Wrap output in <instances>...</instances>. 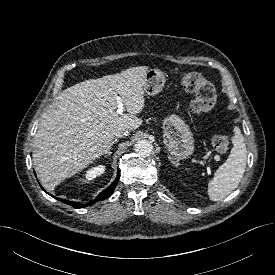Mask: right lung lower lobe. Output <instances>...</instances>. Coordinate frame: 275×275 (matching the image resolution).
Instances as JSON below:
<instances>
[{
    "instance_id": "1",
    "label": "right lung lower lobe",
    "mask_w": 275,
    "mask_h": 275,
    "mask_svg": "<svg viewBox=\"0 0 275 275\" xmlns=\"http://www.w3.org/2000/svg\"><path fill=\"white\" fill-rule=\"evenodd\" d=\"M119 176H120V173L118 171V174H117V177H116L115 181L106 190H104L103 192H101L97 196V198L95 200H93V201H91V202H89L87 204H80V203H77V202L68 201V200H64V199H61V198H56L53 195H51V196L54 197L55 199L60 200L61 202H64V203H66V204H68L70 206H73L74 208H83L85 206L92 205V204H94L97 201H100V200H103V199L109 197L113 193L115 187L117 186V183H118V180H119Z\"/></svg>"
}]
</instances>
